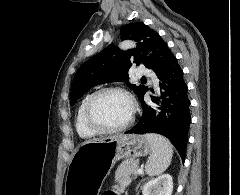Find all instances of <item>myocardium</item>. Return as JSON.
<instances>
[{
    "label": "myocardium",
    "instance_id": "f54148a6",
    "mask_svg": "<svg viewBox=\"0 0 240 195\" xmlns=\"http://www.w3.org/2000/svg\"><path fill=\"white\" fill-rule=\"evenodd\" d=\"M107 94H120L129 100L131 104V116L125 124L117 127H108L100 124L96 120L94 115V108L98 101ZM135 118H136V106L132 96L126 90L117 87L104 88L96 92L94 95H92V97L88 101L85 109V121L87 126L98 134H116L124 132L133 125Z\"/></svg>",
    "mask_w": 240,
    "mask_h": 195
}]
</instances>
